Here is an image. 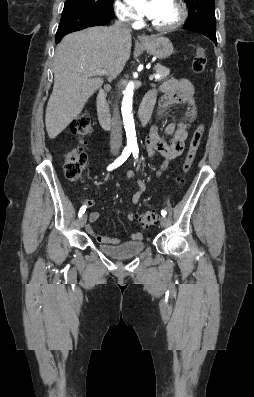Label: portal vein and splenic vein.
Returning <instances> with one entry per match:
<instances>
[{"label":"portal vein and splenic vein","instance_id":"portal-vein-and-splenic-vein-1","mask_svg":"<svg viewBox=\"0 0 254 397\" xmlns=\"http://www.w3.org/2000/svg\"><path fill=\"white\" fill-rule=\"evenodd\" d=\"M94 75H102V74H107V72L105 71V70H103V69H98V70H96V71H93L92 72ZM159 78L160 76L159 75H150L149 76V80H153V78Z\"/></svg>","mask_w":254,"mask_h":397}]
</instances>
